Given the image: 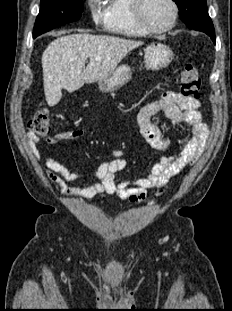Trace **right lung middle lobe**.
I'll use <instances>...</instances> for the list:
<instances>
[{"mask_svg":"<svg viewBox=\"0 0 232 311\" xmlns=\"http://www.w3.org/2000/svg\"><path fill=\"white\" fill-rule=\"evenodd\" d=\"M85 0H41L33 37L81 17Z\"/></svg>","mask_w":232,"mask_h":311,"instance_id":"dd1d6c3e","label":"right lung middle lobe"}]
</instances>
